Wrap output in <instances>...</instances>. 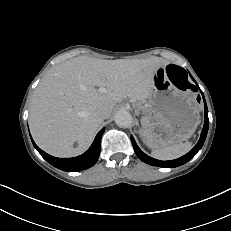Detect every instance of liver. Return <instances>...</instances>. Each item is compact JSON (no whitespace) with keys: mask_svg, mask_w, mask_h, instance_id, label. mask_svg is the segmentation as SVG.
Returning a JSON list of instances; mask_svg holds the SVG:
<instances>
[{"mask_svg":"<svg viewBox=\"0 0 231 231\" xmlns=\"http://www.w3.org/2000/svg\"><path fill=\"white\" fill-rule=\"evenodd\" d=\"M167 62L159 57L102 60L79 56L52 67L36 88L29 127L36 144L56 157L80 155L91 145L102 118L128 97L145 101L153 74ZM95 86L106 87L101 93ZM77 142L78 146L73 147Z\"/></svg>","mask_w":231,"mask_h":231,"instance_id":"6515ba94","label":"liver"}]
</instances>
